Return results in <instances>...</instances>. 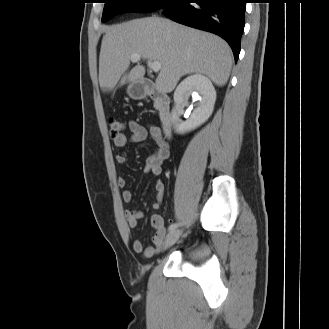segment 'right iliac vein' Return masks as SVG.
<instances>
[{
    "instance_id": "1",
    "label": "right iliac vein",
    "mask_w": 329,
    "mask_h": 329,
    "mask_svg": "<svg viewBox=\"0 0 329 329\" xmlns=\"http://www.w3.org/2000/svg\"><path fill=\"white\" fill-rule=\"evenodd\" d=\"M181 234L182 230L180 229H174L173 231H171L166 237L165 247L168 248L175 244L176 241L180 238Z\"/></svg>"
}]
</instances>
